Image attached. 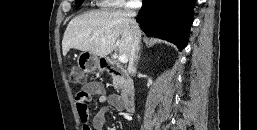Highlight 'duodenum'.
Returning <instances> with one entry per match:
<instances>
[{
	"label": "duodenum",
	"instance_id": "410a0bca",
	"mask_svg": "<svg viewBox=\"0 0 257 130\" xmlns=\"http://www.w3.org/2000/svg\"><path fill=\"white\" fill-rule=\"evenodd\" d=\"M102 68L108 74L119 78L121 82V108L126 113L132 112L134 109L135 91L127 71L110 59L103 60Z\"/></svg>",
	"mask_w": 257,
	"mask_h": 130
}]
</instances>
